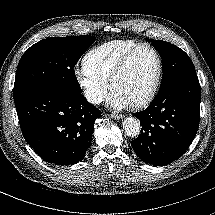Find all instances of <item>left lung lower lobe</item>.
Segmentation results:
<instances>
[{"label":"left lung lower lobe","instance_id":"0a47b994","mask_svg":"<svg viewBox=\"0 0 215 215\" xmlns=\"http://www.w3.org/2000/svg\"><path fill=\"white\" fill-rule=\"evenodd\" d=\"M200 97L192 74L159 90L147 109L134 113L142 129L131 146L143 162L167 165L185 153L199 126Z\"/></svg>","mask_w":215,"mask_h":215}]
</instances>
